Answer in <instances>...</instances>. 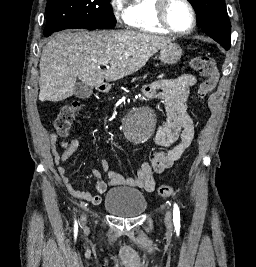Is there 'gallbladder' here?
I'll list each match as a JSON object with an SVG mask.
<instances>
[{
  "instance_id": "obj_1",
  "label": "gallbladder",
  "mask_w": 256,
  "mask_h": 267,
  "mask_svg": "<svg viewBox=\"0 0 256 267\" xmlns=\"http://www.w3.org/2000/svg\"><path fill=\"white\" fill-rule=\"evenodd\" d=\"M93 94V86H87V84H83V82H78L75 86L74 96L76 98H89Z\"/></svg>"
}]
</instances>
